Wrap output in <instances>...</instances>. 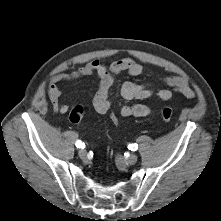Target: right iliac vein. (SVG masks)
Here are the masks:
<instances>
[{
  "instance_id": "obj_1",
  "label": "right iliac vein",
  "mask_w": 221,
  "mask_h": 221,
  "mask_svg": "<svg viewBox=\"0 0 221 221\" xmlns=\"http://www.w3.org/2000/svg\"><path fill=\"white\" fill-rule=\"evenodd\" d=\"M78 154H79V157H80L82 160H86V159H87V151H86V150L81 149Z\"/></svg>"
}]
</instances>
